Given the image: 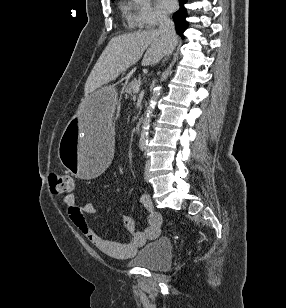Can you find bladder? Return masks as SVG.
Returning <instances> with one entry per match:
<instances>
[{"label":"bladder","mask_w":286,"mask_h":308,"mask_svg":"<svg viewBox=\"0 0 286 308\" xmlns=\"http://www.w3.org/2000/svg\"><path fill=\"white\" fill-rule=\"evenodd\" d=\"M173 244L168 238H159L144 245L127 262L135 267L163 270L172 263Z\"/></svg>","instance_id":"31cf9c89"}]
</instances>
